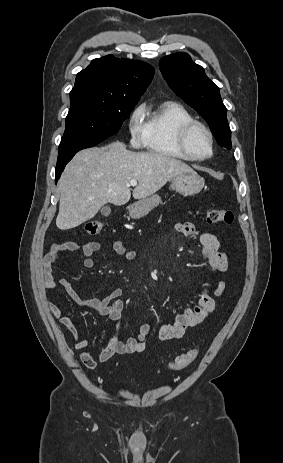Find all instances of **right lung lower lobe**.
Returning a JSON list of instances; mask_svg holds the SVG:
<instances>
[{"mask_svg":"<svg viewBox=\"0 0 283 463\" xmlns=\"http://www.w3.org/2000/svg\"><path fill=\"white\" fill-rule=\"evenodd\" d=\"M100 142H89L78 144L64 149H59L58 151V160L56 165V178L55 182L59 179L61 173L63 172L66 164L73 158V156L80 150L85 148H90L97 145Z\"/></svg>","mask_w":283,"mask_h":463,"instance_id":"right-lung-lower-lobe-1","label":"right lung lower lobe"}]
</instances>
